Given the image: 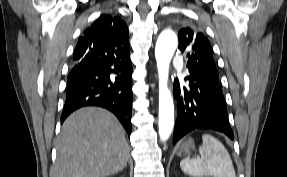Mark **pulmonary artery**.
Returning <instances> with one entry per match:
<instances>
[{
	"mask_svg": "<svg viewBox=\"0 0 287 177\" xmlns=\"http://www.w3.org/2000/svg\"><path fill=\"white\" fill-rule=\"evenodd\" d=\"M182 63H183V58H182V56L176 55V56L173 58V65H174V66H181Z\"/></svg>",
	"mask_w": 287,
	"mask_h": 177,
	"instance_id": "e3ab8cb5",
	"label": "pulmonary artery"
}]
</instances>
